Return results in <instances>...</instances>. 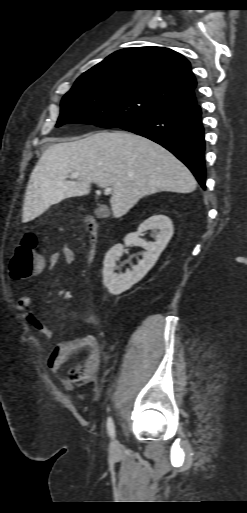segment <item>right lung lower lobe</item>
I'll use <instances>...</instances> for the list:
<instances>
[{"label":"right lung lower lobe","mask_w":247,"mask_h":513,"mask_svg":"<svg viewBox=\"0 0 247 513\" xmlns=\"http://www.w3.org/2000/svg\"><path fill=\"white\" fill-rule=\"evenodd\" d=\"M144 136L168 149L205 186L204 129L197 103L168 108L120 127Z\"/></svg>","instance_id":"98d812e1"}]
</instances>
